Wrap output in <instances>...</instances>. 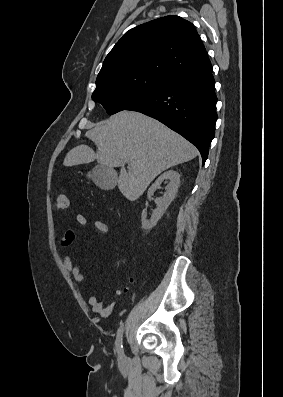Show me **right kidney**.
Returning a JSON list of instances; mask_svg holds the SVG:
<instances>
[{
	"label": "right kidney",
	"mask_w": 283,
	"mask_h": 397,
	"mask_svg": "<svg viewBox=\"0 0 283 397\" xmlns=\"http://www.w3.org/2000/svg\"><path fill=\"white\" fill-rule=\"evenodd\" d=\"M166 180H169V183L165 188L166 192L163 197L155 199V203L157 207L153 211L151 218L147 219L146 209H144L142 212L141 222H142V228L144 230L149 231L157 224L158 220L163 216L166 209L168 208V206L176 196L180 184V174L175 170H168L163 174H161L156 179L154 184H152V186L149 188L148 199H151L154 192L157 189H159L160 185Z\"/></svg>",
	"instance_id": "right-kidney-1"
}]
</instances>
